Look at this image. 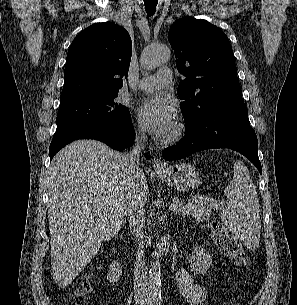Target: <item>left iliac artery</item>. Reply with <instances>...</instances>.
Masks as SVG:
<instances>
[{"mask_svg":"<svg viewBox=\"0 0 297 305\" xmlns=\"http://www.w3.org/2000/svg\"><path fill=\"white\" fill-rule=\"evenodd\" d=\"M156 305H162V297L161 295L155 296Z\"/></svg>","mask_w":297,"mask_h":305,"instance_id":"left-iliac-artery-1","label":"left iliac artery"}]
</instances>
